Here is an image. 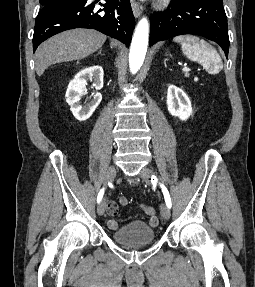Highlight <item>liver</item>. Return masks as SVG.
<instances>
[{
  "label": "liver",
  "instance_id": "liver-1",
  "mask_svg": "<svg viewBox=\"0 0 255 287\" xmlns=\"http://www.w3.org/2000/svg\"><path fill=\"white\" fill-rule=\"evenodd\" d=\"M107 36L95 30H68L49 38L36 50L35 70L38 76L44 74L48 66L60 62L82 60L102 48Z\"/></svg>",
  "mask_w": 255,
  "mask_h": 287
}]
</instances>
